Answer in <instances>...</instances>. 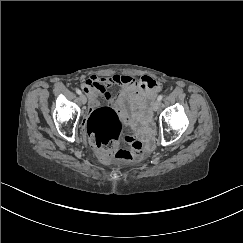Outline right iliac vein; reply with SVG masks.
I'll return each mask as SVG.
<instances>
[{"label": "right iliac vein", "mask_w": 243, "mask_h": 243, "mask_svg": "<svg viewBox=\"0 0 243 243\" xmlns=\"http://www.w3.org/2000/svg\"><path fill=\"white\" fill-rule=\"evenodd\" d=\"M80 100H81L82 104H85L86 101H87L86 96L83 95V94H81V95H80Z\"/></svg>", "instance_id": "right-iliac-vein-1"}]
</instances>
